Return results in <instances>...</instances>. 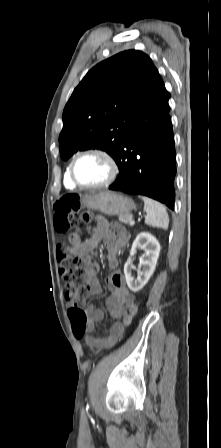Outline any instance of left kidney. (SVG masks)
I'll list each match as a JSON object with an SVG mask.
<instances>
[{"label":"left kidney","instance_id":"1","mask_svg":"<svg viewBox=\"0 0 221 448\" xmlns=\"http://www.w3.org/2000/svg\"><path fill=\"white\" fill-rule=\"evenodd\" d=\"M138 248H143L145 254L142 256L140 263L143 266V270L140 271L139 277L135 280L132 276V260L131 258L136 254ZM160 253V244L158 240L147 232H141L135 238L130 256L124 265V275L127 285L132 292H138L150 279L153 274L157 260Z\"/></svg>","mask_w":221,"mask_h":448}]
</instances>
